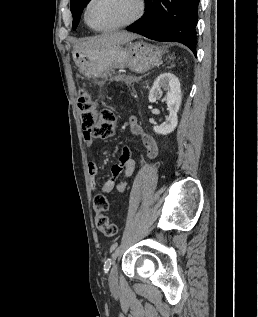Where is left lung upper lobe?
<instances>
[{"label": "left lung upper lobe", "instance_id": "5c2ea615", "mask_svg": "<svg viewBox=\"0 0 258 317\" xmlns=\"http://www.w3.org/2000/svg\"><path fill=\"white\" fill-rule=\"evenodd\" d=\"M90 0H71L70 9L73 15V24L72 28L75 30L79 20L80 15L84 9V7L88 4Z\"/></svg>", "mask_w": 258, "mask_h": 317}]
</instances>
